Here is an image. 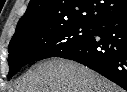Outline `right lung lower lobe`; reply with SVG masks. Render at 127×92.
<instances>
[{
  "label": "right lung lower lobe",
  "instance_id": "obj_1",
  "mask_svg": "<svg viewBox=\"0 0 127 92\" xmlns=\"http://www.w3.org/2000/svg\"><path fill=\"white\" fill-rule=\"evenodd\" d=\"M56 57L79 62L127 90V11L100 21L88 39Z\"/></svg>",
  "mask_w": 127,
  "mask_h": 92
}]
</instances>
